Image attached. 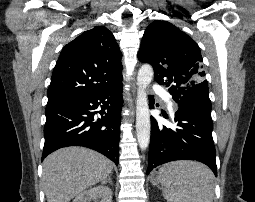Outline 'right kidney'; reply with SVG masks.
<instances>
[{
    "label": "right kidney",
    "instance_id": "obj_1",
    "mask_svg": "<svg viewBox=\"0 0 255 202\" xmlns=\"http://www.w3.org/2000/svg\"><path fill=\"white\" fill-rule=\"evenodd\" d=\"M99 199V201H98ZM112 202V191L106 186H96L80 193L73 202Z\"/></svg>",
    "mask_w": 255,
    "mask_h": 202
}]
</instances>
